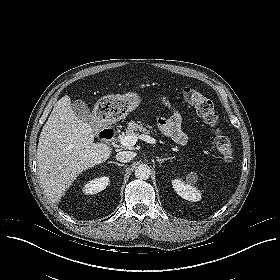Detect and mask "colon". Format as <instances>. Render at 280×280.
<instances>
[{
  "mask_svg": "<svg viewBox=\"0 0 280 280\" xmlns=\"http://www.w3.org/2000/svg\"><path fill=\"white\" fill-rule=\"evenodd\" d=\"M182 97L187 104L196 109L203 122L213 130L214 144L221 159L224 162H232L234 150L227 133L220 127L219 114L213 102L191 87L183 89Z\"/></svg>",
  "mask_w": 280,
  "mask_h": 280,
  "instance_id": "5ec220e1",
  "label": "colon"
}]
</instances>
